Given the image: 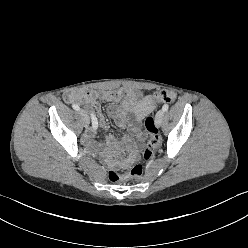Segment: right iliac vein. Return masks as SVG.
Masks as SVG:
<instances>
[{
	"label": "right iliac vein",
	"mask_w": 248,
	"mask_h": 248,
	"mask_svg": "<svg viewBox=\"0 0 248 248\" xmlns=\"http://www.w3.org/2000/svg\"><path fill=\"white\" fill-rule=\"evenodd\" d=\"M80 114L82 117L83 125L85 127H88L90 122L89 115L84 110H80Z\"/></svg>",
	"instance_id": "1"
}]
</instances>
